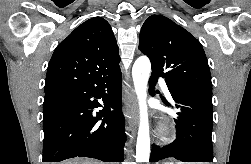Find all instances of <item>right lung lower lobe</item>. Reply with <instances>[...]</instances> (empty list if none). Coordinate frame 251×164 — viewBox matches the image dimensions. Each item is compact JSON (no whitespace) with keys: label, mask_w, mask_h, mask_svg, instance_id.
<instances>
[{"label":"right lung lower lobe","mask_w":251,"mask_h":164,"mask_svg":"<svg viewBox=\"0 0 251 164\" xmlns=\"http://www.w3.org/2000/svg\"><path fill=\"white\" fill-rule=\"evenodd\" d=\"M120 68L106 76L46 92L43 103V162L90 157L122 162L126 141L121 112ZM105 109L94 113L102 105ZM109 107L115 113L109 112Z\"/></svg>","instance_id":"98d812e1"}]
</instances>
